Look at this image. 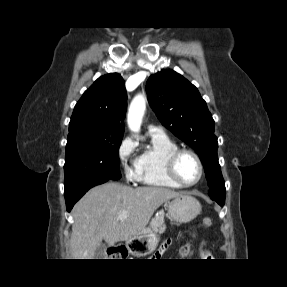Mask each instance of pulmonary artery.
Segmentation results:
<instances>
[{"label":"pulmonary artery","instance_id":"obj_1","mask_svg":"<svg viewBox=\"0 0 287 287\" xmlns=\"http://www.w3.org/2000/svg\"><path fill=\"white\" fill-rule=\"evenodd\" d=\"M147 128L149 134L165 135L164 128L160 125L149 124Z\"/></svg>","mask_w":287,"mask_h":287}]
</instances>
